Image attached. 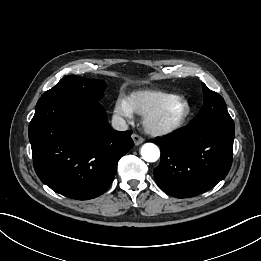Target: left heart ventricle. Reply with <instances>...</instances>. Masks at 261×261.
<instances>
[{
  "label": "left heart ventricle",
  "mask_w": 261,
  "mask_h": 261,
  "mask_svg": "<svg viewBox=\"0 0 261 261\" xmlns=\"http://www.w3.org/2000/svg\"><path fill=\"white\" fill-rule=\"evenodd\" d=\"M182 111V106L179 104H172L166 111L164 118L170 120L175 118Z\"/></svg>",
  "instance_id": "b2bd125f"
}]
</instances>
